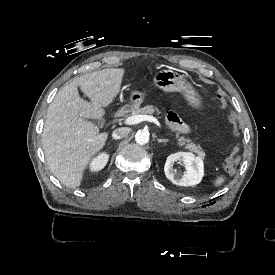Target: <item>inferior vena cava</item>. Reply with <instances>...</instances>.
<instances>
[{
	"label": "inferior vena cava",
	"mask_w": 275,
	"mask_h": 275,
	"mask_svg": "<svg viewBox=\"0 0 275 275\" xmlns=\"http://www.w3.org/2000/svg\"><path fill=\"white\" fill-rule=\"evenodd\" d=\"M130 132H131V129L127 128V127L117 128L113 131L112 138L113 139H122L125 136H127Z\"/></svg>",
	"instance_id": "1"
}]
</instances>
